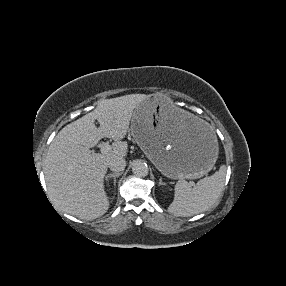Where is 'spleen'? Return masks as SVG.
I'll use <instances>...</instances> for the list:
<instances>
[{"label": "spleen", "instance_id": "3e777b00", "mask_svg": "<svg viewBox=\"0 0 286 286\" xmlns=\"http://www.w3.org/2000/svg\"><path fill=\"white\" fill-rule=\"evenodd\" d=\"M226 167L209 177H205L192 187L185 180L175 185L174 199L168 211L175 216H193L208 210L219 198L225 181Z\"/></svg>", "mask_w": 286, "mask_h": 286}]
</instances>
